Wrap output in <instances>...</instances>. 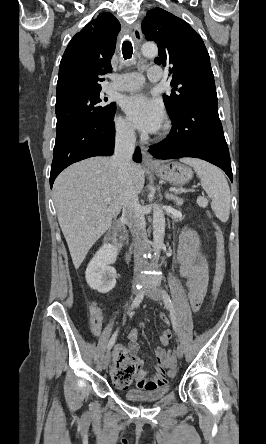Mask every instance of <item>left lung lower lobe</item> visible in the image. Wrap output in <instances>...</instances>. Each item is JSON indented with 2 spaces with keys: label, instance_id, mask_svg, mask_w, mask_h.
I'll return each mask as SVG.
<instances>
[{
  "label": "left lung lower lobe",
  "instance_id": "obj_1",
  "mask_svg": "<svg viewBox=\"0 0 266 444\" xmlns=\"http://www.w3.org/2000/svg\"><path fill=\"white\" fill-rule=\"evenodd\" d=\"M169 137L149 149L157 159L195 157L220 167L233 181L231 160L218 115V101L198 102L171 118Z\"/></svg>",
  "mask_w": 266,
  "mask_h": 444
}]
</instances>
